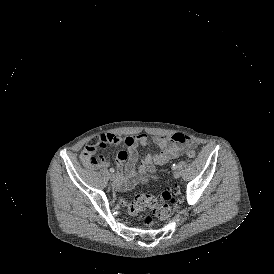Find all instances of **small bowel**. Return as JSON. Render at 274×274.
<instances>
[{
    "mask_svg": "<svg viewBox=\"0 0 274 274\" xmlns=\"http://www.w3.org/2000/svg\"><path fill=\"white\" fill-rule=\"evenodd\" d=\"M107 144H120L125 147L116 156L117 168L114 175L113 185L119 190L132 189L141 176L157 179L156 166L166 164L170 159H180L182 151L195 144L183 134H175L172 137L155 136L150 139L146 134L140 133L136 136L119 138L113 134H104L99 140L98 148ZM157 145L161 152L157 154L147 153L144 156L141 166L137 168L138 153L137 146ZM80 160L87 168H106L109 163L101 155H95V151L88 149V146L81 152Z\"/></svg>",
    "mask_w": 274,
    "mask_h": 274,
    "instance_id": "c3829d8e",
    "label": "small bowel"
}]
</instances>
